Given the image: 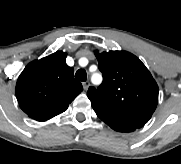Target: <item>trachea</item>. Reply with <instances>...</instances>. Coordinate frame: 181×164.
Instances as JSON below:
<instances>
[{
  "mask_svg": "<svg viewBox=\"0 0 181 164\" xmlns=\"http://www.w3.org/2000/svg\"><path fill=\"white\" fill-rule=\"evenodd\" d=\"M75 78H76L77 80H80V81H86V79H87L86 71L83 70V69H79V70L75 73Z\"/></svg>",
  "mask_w": 181,
  "mask_h": 164,
  "instance_id": "1",
  "label": "trachea"
}]
</instances>
